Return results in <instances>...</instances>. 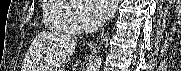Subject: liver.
Here are the masks:
<instances>
[{
	"label": "liver",
	"instance_id": "6515ba94",
	"mask_svg": "<svg viewBox=\"0 0 181 71\" xmlns=\"http://www.w3.org/2000/svg\"><path fill=\"white\" fill-rule=\"evenodd\" d=\"M77 41L58 32L41 33L33 41L24 61L23 71H53L70 61Z\"/></svg>",
	"mask_w": 181,
	"mask_h": 71
}]
</instances>
